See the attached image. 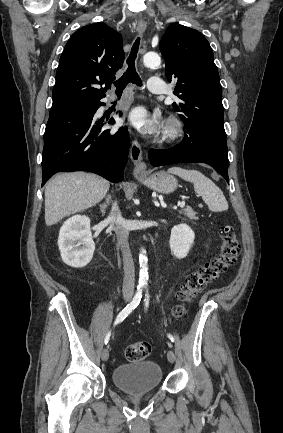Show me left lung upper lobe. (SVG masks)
I'll list each match as a JSON object with an SVG mask.
<instances>
[{
  "label": "left lung upper lobe",
  "mask_w": 283,
  "mask_h": 433,
  "mask_svg": "<svg viewBox=\"0 0 283 433\" xmlns=\"http://www.w3.org/2000/svg\"><path fill=\"white\" fill-rule=\"evenodd\" d=\"M166 61L165 74L176 83L173 103L185 125L211 124L223 127L222 88L213 51L203 34L173 23L160 44Z\"/></svg>",
  "instance_id": "obj_1"
}]
</instances>
